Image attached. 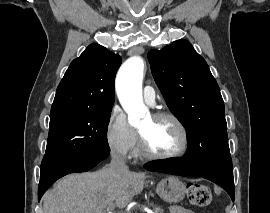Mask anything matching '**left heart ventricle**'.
Masks as SVG:
<instances>
[{"mask_svg": "<svg viewBox=\"0 0 270 213\" xmlns=\"http://www.w3.org/2000/svg\"><path fill=\"white\" fill-rule=\"evenodd\" d=\"M139 131L146 139L150 150L156 154H169L182 145V135L171 119L154 120L150 116Z\"/></svg>", "mask_w": 270, "mask_h": 213, "instance_id": "b2bd125f", "label": "left heart ventricle"}]
</instances>
